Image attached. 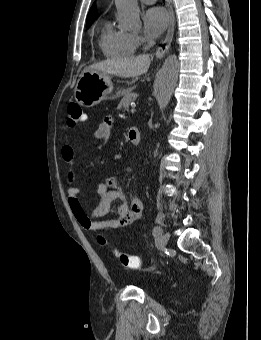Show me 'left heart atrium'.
I'll return each instance as SVG.
<instances>
[{
	"mask_svg": "<svg viewBox=\"0 0 261 340\" xmlns=\"http://www.w3.org/2000/svg\"><path fill=\"white\" fill-rule=\"evenodd\" d=\"M170 22V15L163 7H151L143 16L145 33L152 39L158 38Z\"/></svg>",
	"mask_w": 261,
	"mask_h": 340,
	"instance_id": "obj_1",
	"label": "left heart atrium"
}]
</instances>
